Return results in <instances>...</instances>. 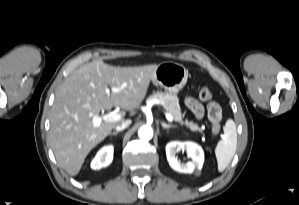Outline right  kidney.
<instances>
[{
  "label": "right kidney",
  "instance_id": "ca27d5eb",
  "mask_svg": "<svg viewBox=\"0 0 299 205\" xmlns=\"http://www.w3.org/2000/svg\"><path fill=\"white\" fill-rule=\"evenodd\" d=\"M113 160V146H105L98 151L95 158L91 162V168L99 170L107 167Z\"/></svg>",
  "mask_w": 299,
  "mask_h": 205
}]
</instances>
